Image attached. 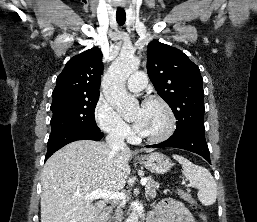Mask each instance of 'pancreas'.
Returning <instances> with one entry per match:
<instances>
[{
  "instance_id": "1",
  "label": "pancreas",
  "mask_w": 257,
  "mask_h": 222,
  "mask_svg": "<svg viewBox=\"0 0 257 222\" xmlns=\"http://www.w3.org/2000/svg\"><path fill=\"white\" fill-rule=\"evenodd\" d=\"M157 188L158 187L155 185V181L153 179L149 178L148 183L146 185V189H145L146 197L155 198ZM120 207H123V204H121Z\"/></svg>"
}]
</instances>
